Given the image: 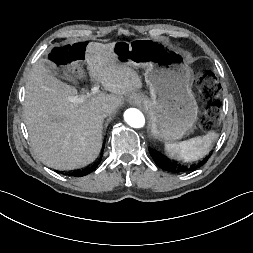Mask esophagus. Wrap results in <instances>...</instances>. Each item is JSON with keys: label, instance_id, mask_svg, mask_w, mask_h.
<instances>
[{"label": "esophagus", "instance_id": "1", "mask_svg": "<svg viewBox=\"0 0 253 253\" xmlns=\"http://www.w3.org/2000/svg\"><path fill=\"white\" fill-rule=\"evenodd\" d=\"M131 102L136 103V98H132Z\"/></svg>", "mask_w": 253, "mask_h": 253}]
</instances>
